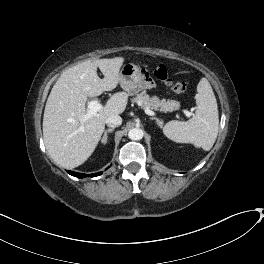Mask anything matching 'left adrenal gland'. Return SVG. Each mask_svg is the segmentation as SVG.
I'll list each match as a JSON object with an SVG mask.
<instances>
[{"label":"left adrenal gland","mask_w":264,"mask_h":264,"mask_svg":"<svg viewBox=\"0 0 264 264\" xmlns=\"http://www.w3.org/2000/svg\"><path fill=\"white\" fill-rule=\"evenodd\" d=\"M150 119L155 120L156 123H157L160 127H162V120H160V119L157 118V117H151Z\"/></svg>","instance_id":"left-adrenal-gland-1"}]
</instances>
